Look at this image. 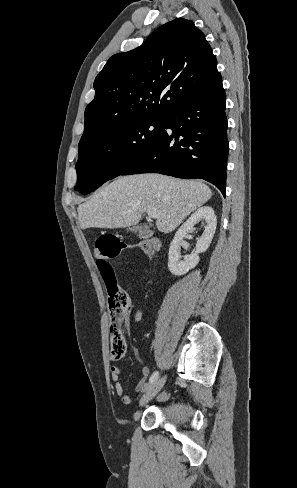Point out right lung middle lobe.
Listing matches in <instances>:
<instances>
[{
    "mask_svg": "<svg viewBox=\"0 0 297 488\" xmlns=\"http://www.w3.org/2000/svg\"><path fill=\"white\" fill-rule=\"evenodd\" d=\"M165 122L166 118L147 117L94 140L81 139L75 189L88 194L121 175L162 133Z\"/></svg>",
    "mask_w": 297,
    "mask_h": 488,
    "instance_id": "right-lung-middle-lobe-1",
    "label": "right lung middle lobe"
}]
</instances>
